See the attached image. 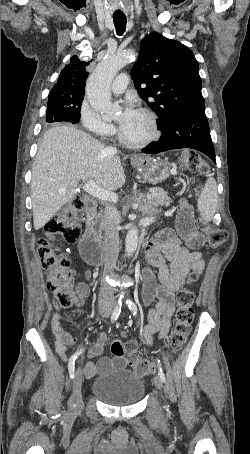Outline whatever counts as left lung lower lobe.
Masks as SVG:
<instances>
[{"instance_id": "0a47b994", "label": "left lung lower lobe", "mask_w": 250, "mask_h": 454, "mask_svg": "<svg viewBox=\"0 0 250 454\" xmlns=\"http://www.w3.org/2000/svg\"><path fill=\"white\" fill-rule=\"evenodd\" d=\"M160 130L162 135L159 141L147 145L142 149L144 153L157 154L171 149L192 148L206 154L216 163L205 112L181 115Z\"/></svg>"}]
</instances>
